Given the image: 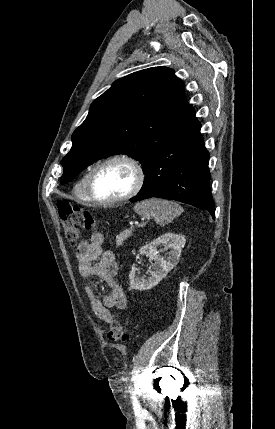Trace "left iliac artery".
<instances>
[{
	"label": "left iliac artery",
	"instance_id": "left-iliac-artery-1",
	"mask_svg": "<svg viewBox=\"0 0 275 429\" xmlns=\"http://www.w3.org/2000/svg\"><path fill=\"white\" fill-rule=\"evenodd\" d=\"M132 399H133V405L137 406V405H138V401H137V399H136V396H135V395H133V396H132Z\"/></svg>",
	"mask_w": 275,
	"mask_h": 429
}]
</instances>
